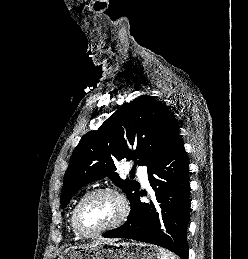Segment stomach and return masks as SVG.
<instances>
[{
    "label": "stomach",
    "instance_id": "stomach-1",
    "mask_svg": "<svg viewBox=\"0 0 248 259\" xmlns=\"http://www.w3.org/2000/svg\"><path fill=\"white\" fill-rule=\"evenodd\" d=\"M160 248L136 242L101 243L66 249L58 259H159Z\"/></svg>",
    "mask_w": 248,
    "mask_h": 259
}]
</instances>
